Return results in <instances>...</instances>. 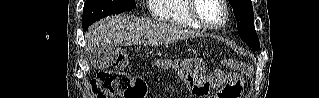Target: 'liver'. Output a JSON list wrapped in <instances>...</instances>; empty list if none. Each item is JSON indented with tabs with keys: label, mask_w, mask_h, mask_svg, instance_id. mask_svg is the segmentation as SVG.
<instances>
[{
	"label": "liver",
	"mask_w": 319,
	"mask_h": 98,
	"mask_svg": "<svg viewBox=\"0 0 319 98\" xmlns=\"http://www.w3.org/2000/svg\"><path fill=\"white\" fill-rule=\"evenodd\" d=\"M199 36H201L199 33L180 25L132 20L121 15L92 25L86 33V49L91 57V51L95 47L141 45L143 43L141 37L147 39L148 45L160 46Z\"/></svg>",
	"instance_id": "1"
}]
</instances>
